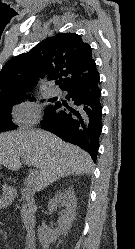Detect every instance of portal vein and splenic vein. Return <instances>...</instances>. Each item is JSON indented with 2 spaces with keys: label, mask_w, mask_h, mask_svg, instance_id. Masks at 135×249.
<instances>
[{
  "label": "portal vein and splenic vein",
  "mask_w": 135,
  "mask_h": 249,
  "mask_svg": "<svg viewBox=\"0 0 135 249\" xmlns=\"http://www.w3.org/2000/svg\"><path fill=\"white\" fill-rule=\"evenodd\" d=\"M23 162L28 166L31 165V162L27 157H23ZM34 181H35V172H31L27 178L28 186L34 185Z\"/></svg>",
  "instance_id": "obj_1"
}]
</instances>
